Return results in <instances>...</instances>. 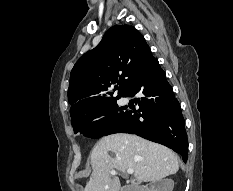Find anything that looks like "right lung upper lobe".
I'll return each instance as SVG.
<instances>
[{
  "label": "right lung upper lobe",
  "mask_w": 233,
  "mask_h": 191,
  "mask_svg": "<svg viewBox=\"0 0 233 191\" xmlns=\"http://www.w3.org/2000/svg\"><path fill=\"white\" fill-rule=\"evenodd\" d=\"M151 56L144 37L133 26L110 28L99 45L85 53L71 71V117L114 100L110 87L115 83H120L116 99L125 96Z\"/></svg>",
  "instance_id": "obj_1"
}]
</instances>
